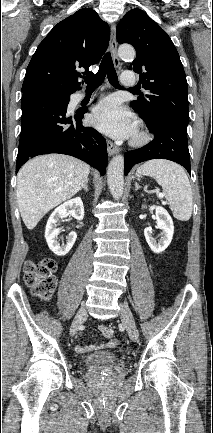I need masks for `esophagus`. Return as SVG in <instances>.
I'll return each mask as SVG.
<instances>
[{
	"instance_id": "obj_1",
	"label": "esophagus",
	"mask_w": 213,
	"mask_h": 433,
	"mask_svg": "<svg viewBox=\"0 0 213 433\" xmlns=\"http://www.w3.org/2000/svg\"><path fill=\"white\" fill-rule=\"evenodd\" d=\"M110 51L112 54L114 65L116 67H118L120 64V61H119V58L117 56L116 24L115 23H113L111 25ZM107 151H108V154L111 156V155L117 154L119 152V148L113 142L108 140L107 141Z\"/></svg>"
}]
</instances>
